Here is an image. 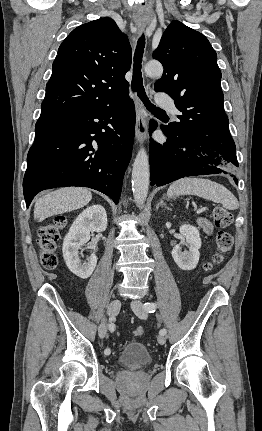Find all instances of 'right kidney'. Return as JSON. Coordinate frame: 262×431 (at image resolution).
I'll return each instance as SVG.
<instances>
[{
	"label": "right kidney",
	"mask_w": 262,
	"mask_h": 431,
	"mask_svg": "<svg viewBox=\"0 0 262 431\" xmlns=\"http://www.w3.org/2000/svg\"><path fill=\"white\" fill-rule=\"evenodd\" d=\"M107 228V214L103 206L86 208L75 219L63 242V257L68 269L80 278L86 279L93 273L97 256L92 254L84 263L79 258V250L89 241L90 232H103Z\"/></svg>",
	"instance_id": "right-kidney-1"
}]
</instances>
